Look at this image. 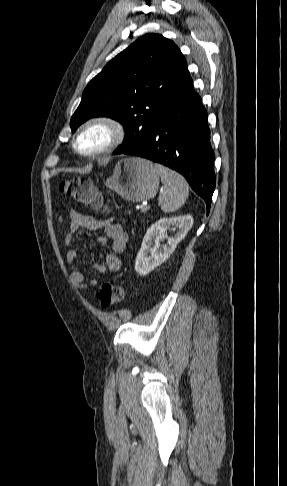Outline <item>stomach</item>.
<instances>
[{
	"label": "stomach",
	"instance_id": "1",
	"mask_svg": "<svg viewBox=\"0 0 287 486\" xmlns=\"http://www.w3.org/2000/svg\"><path fill=\"white\" fill-rule=\"evenodd\" d=\"M159 177L160 173L152 162L128 157L118 161L105 186L126 200L141 202L156 195Z\"/></svg>",
	"mask_w": 287,
	"mask_h": 486
}]
</instances>
